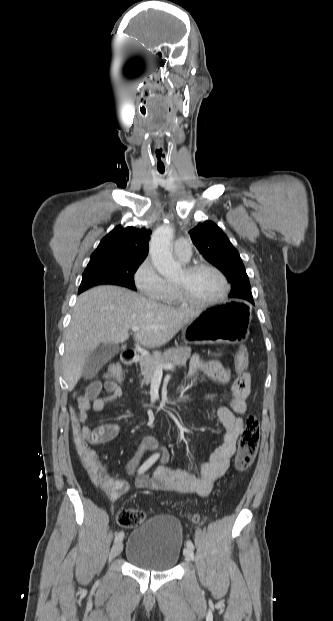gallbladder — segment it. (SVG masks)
I'll return each instance as SVG.
<instances>
[{
    "label": "gallbladder",
    "instance_id": "obj_1",
    "mask_svg": "<svg viewBox=\"0 0 333 621\" xmlns=\"http://www.w3.org/2000/svg\"><path fill=\"white\" fill-rule=\"evenodd\" d=\"M120 348L114 343L101 344L89 357L84 369L83 377L88 379L93 377L98 370L105 365L114 355L119 352Z\"/></svg>",
    "mask_w": 333,
    "mask_h": 621
}]
</instances>
